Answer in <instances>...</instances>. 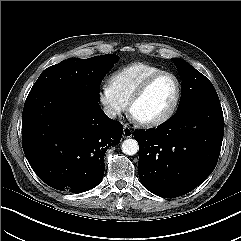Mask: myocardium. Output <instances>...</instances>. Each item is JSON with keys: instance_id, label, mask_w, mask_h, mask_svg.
<instances>
[{"instance_id": "myocardium-1", "label": "myocardium", "mask_w": 241, "mask_h": 241, "mask_svg": "<svg viewBox=\"0 0 241 241\" xmlns=\"http://www.w3.org/2000/svg\"><path fill=\"white\" fill-rule=\"evenodd\" d=\"M163 76H170L174 79L176 83V94L174 101L170 108L160 117L149 120V121H142L137 119L134 114H133V109L136 103L147 93V91L150 89V87L153 85V83L158 80L160 77ZM181 95H182V85L181 81L178 78L176 74L170 71H165L162 70L160 72H157L153 75H151L149 78H147L141 85L140 87L135 91L133 96L131 97L129 101V113L131 118L140 126L145 127V128H156L159 127L166 122H168L176 113L177 108L179 106L180 100H181Z\"/></svg>"}]
</instances>
